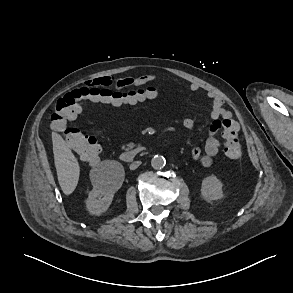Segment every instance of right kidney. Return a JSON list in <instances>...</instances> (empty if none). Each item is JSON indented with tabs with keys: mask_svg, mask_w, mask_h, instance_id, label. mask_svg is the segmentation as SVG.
<instances>
[{
	"mask_svg": "<svg viewBox=\"0 0 293 293\" xmlns=\"http://www.w3.org/2000/svg\"><path fill=\"white\" fill-rule=\"evenodd\" d=\"M108 175L100 181H95L89 192L86 207L90 214L101 215L112 203L114 193L121 187L124 180L123 166L117 161H105Z\"/></svg>",
	"mask_w": 293,
	"mask_h": 293,
	"instance_id": "1",
	"label": "right kidney"
}]
</instances>
